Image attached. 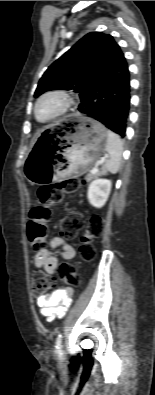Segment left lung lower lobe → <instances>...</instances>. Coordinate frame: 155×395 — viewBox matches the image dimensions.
Here are the masks:
<instances>
[{
    "mask_svg": "<svg viewBox=\"0 0 155 395\" xmlns=\"http://www.w3.org/2000/svg\"><path fill=\"white\" fill-rule=\"evenodd\" d=\"M130 98V74L124 58L103 76L98 87L81 103L78 110L123 138Z\"/></svg>",
    "mask_w": 155,
    "mask_h": 395,
    "instance_id": "1",
    "label": "left lung lower lobe"
}]
</instances>
